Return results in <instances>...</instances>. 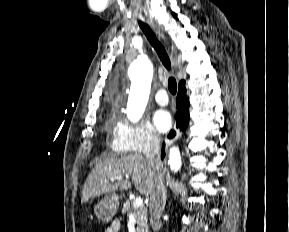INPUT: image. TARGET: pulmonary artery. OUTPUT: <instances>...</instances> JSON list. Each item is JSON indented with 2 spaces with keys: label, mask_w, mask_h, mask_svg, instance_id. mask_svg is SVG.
I'll return each mask as SVG.
<instances>
[{
  "label": "pulmonary artery",
  "mask_w": 289,
  "mask_h": 232,
  "mask_svg": "<svg viewBox=\"0 0 289 232\" xmlns=\"http://www.w3.org/2000/svg\"><path fill=\"white\" fill-rule=\"evenodd\" d=\"M155 101L162 106H165L168 104V96L167 92L164 89H160L155 94Z\"/></svg>",
  "instance_id": "obj_1"
}]
</instances>
